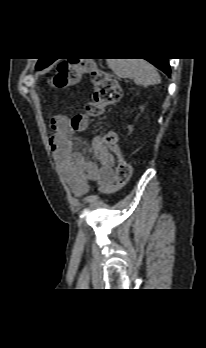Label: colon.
Masks as SVG:
<instances>
[{"label": "colon", "mask_w": 206, "mask_h": 348, "mask_svg": "<svg viewBox=\"0 0 206 348\" xmlns=\"http://www.w3.org/2000/svg\"><path fill=\"white\" fill-rule=\"evenodd\" d=\"M87 73L92 76V100L87 104L85 112L77 113L71 118V126L75 130L85 129L90 118L100 116L109 106L121 99L122 92L118 81L110 73L97 67L92 58H73L60 62L56 73L49 79V83L57 89L67 88L76 84ZM104 141L116 157L115 182L113 185L103 188L105 192L111 193L121 189L129 182L132 168L122 154L116 132L107 131Z\"/></svg>", "instance_id": "colon-1"}]
</instances>
